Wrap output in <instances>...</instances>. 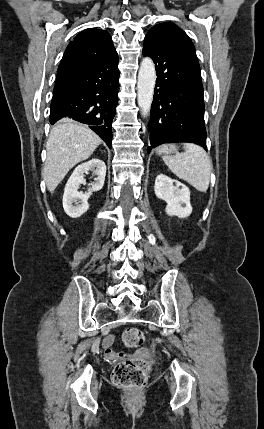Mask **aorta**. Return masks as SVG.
Masks as SVG:
<instances>
[{
    "instance_id": "aorta-1",
    "label": "aorta",
    "mask_w": 264,
    "mask_h": 429,
    "mask_svg": "<svg viewBox=\"0 0 264 429\" xmlns=\"http://www.w3.org/2000/svg\"><path fill=\"white\" fill-rule=\"evenodd\" d=\"M156 82L155 65L151 58L146 57L140 64L137 83V102L142 116L146 117L151 108Z\"/></svg>"
}]
</instances>
